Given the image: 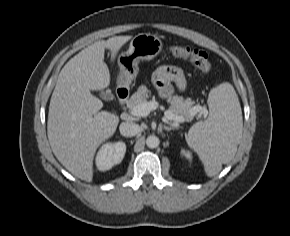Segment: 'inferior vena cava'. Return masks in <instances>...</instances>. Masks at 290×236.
<instances>
[{"instance_id":"1","label":"inferior vena cava","mask_w":290,"mask_h":236,"mask_svg":"<svg viewBox=\"0 0 290 236\" xmlns=\"http://www.w3.org/2000/svg\"><path fill=\"white\" fill-rule=\"evenodd\" d=\"M119 130L121 135L132 137L139 132V126L133 122H122L119 126Z\"/></svg>"}]
</instances>
